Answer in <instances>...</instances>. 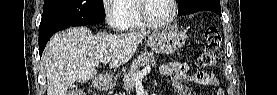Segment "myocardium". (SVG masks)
I'll use <instances>...</instances> for the list:
<instances>
[{"mask_svg":"<svg viewBox=\"0 0 277 95\" xmlns=\"http://www.w3.org/2000/svg\"><path fill=\"white\" fill-rule=\"evenodd\" d=\"M148 0H140L139 4H138V10H139V14L142 18V20L150 27H166L169 26L175 19V17L177 16V12H178V4L176 0H170L171 4H172V13L171 16L165 20V21H156L151 19L145 11L146 8V3Z\"/></svg>","mask_w":277,"mask_h":95,"instance_id":"myocardium-1","label":"myocardium"}]
</instances>
